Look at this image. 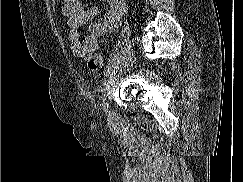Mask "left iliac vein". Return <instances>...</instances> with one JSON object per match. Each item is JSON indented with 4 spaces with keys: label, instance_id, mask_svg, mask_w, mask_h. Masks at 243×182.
<instances>
[{
    "label": "left iliac vein",
    "instance_id": "1",
    "mask_svg": "<svg viewBox=\"0 0 243 182\" xmlns=\"http://www.w3.org/2000/svg\"><path fill=\"white\" fill-rule=\"evenodd\" d=\"M106 115H107L108 123L113 124L115 113L111 109H108L107 112H106Z\"/></svg>",
    "mask_w": 243,
    "mask_h": 182
}]
</instances>
